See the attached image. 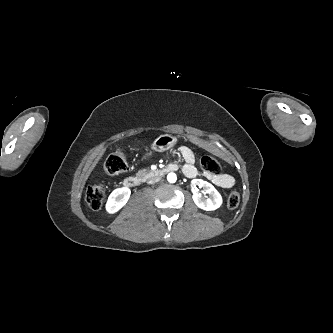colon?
I'll return each instance as SVG.
<instances>
[{"mask_svg": "<svg viewBox=\"0 0 333 333\" xmlns=\"http://www.w3.org/2000/svg\"><path fill=\"white\" fill-rule=\"evenodd\" d=\"M201 167L210 174H219L221 166L219 162L211 156H203L200 160ZM104 169L107 174L116 175L126 172L129 169L128 160L125 151L118 149L108 156L105 161ZM86 201L93 210L102 208L106 199V190L101 185H93L86 190ZM240 203V195L234 190L229 193L227 198V206L235 209Z\"/></svg>", "mask_w": 333, "mask_h": 333, "instance_id": "1", "label": "colon"}]
</instances>
